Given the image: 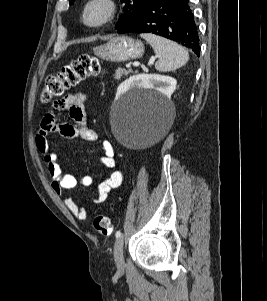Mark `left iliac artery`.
Segmentation results:
<instances>
[{
  "mask_svg": "<svg viewBox=\"0 0 267 301\" xmlns=\"http://www.w3.org/2000/svg\"><path fill=\"white\" fill-rule=\"evenodd\" d=\"M115 236L116 238H119L121 236V232L118 230L116 233H115Z\"/></svg>",
  "mask_w": 267,
  "mask_h": 301,
  "instance_id": "1",
  "label": "left iliac artery"
}]
</instances>
